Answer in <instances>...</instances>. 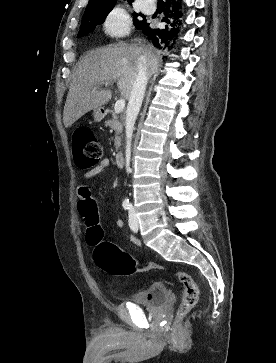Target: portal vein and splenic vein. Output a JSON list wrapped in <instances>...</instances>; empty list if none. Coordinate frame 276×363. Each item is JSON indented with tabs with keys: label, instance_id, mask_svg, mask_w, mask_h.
Masks as SVG:
<instances>
[{
	"label": "portal vein and splenic vein",
	"instance_id": "obj_1",
	"mask_svg": "<svg viewBox=\"0 0 276 363\" xmlns=\"http://www.w3.org/2000/svg\"><path fill=\"white\" fill-rule=\"evenodd\" d=\"M109 83L106 82L105 83V86H108ZM125 108V100L124 99H120L118 100L116 103H115V106H114V111L115 113L119 114L121 113Z\"/></svg>",
	"mask_w": 276,
	"mask_h": 363
}]
</instances>
